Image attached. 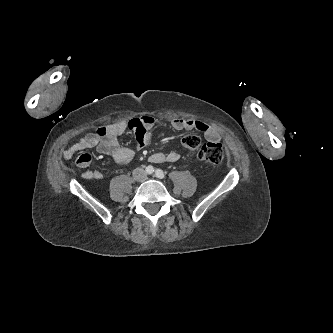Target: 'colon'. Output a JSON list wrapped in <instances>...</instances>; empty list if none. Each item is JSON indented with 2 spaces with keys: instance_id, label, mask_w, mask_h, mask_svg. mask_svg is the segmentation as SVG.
Listing matches in <instances>:
<instances>
[{
  "instance_id": "1",
  "label": "colon",
  "mask_w": 333,
  "mask_h": 333,
  "mask_svg": "<svg viewBox=\"0 0 333 333\" xmlns=\"http://www.w3.org/2000/svg\"><path fill=\"white\" fill-rule=\"evenodd\" d=\"M182 144L188 150H198V158L209 164L218 165L224 160V149L218 143L208 142L202 144L199 136L187 135L182 139Z\"/></svg>"
}]
</instances>
